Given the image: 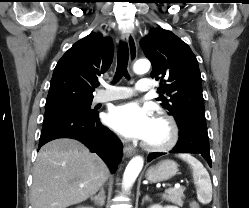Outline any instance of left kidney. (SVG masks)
<instances>
[{
  "label": "left kidney",
  "instance_id": "left-kidney-1",
  "mask_svg": "<svg viewBox=\"0 0 249 208\" xmlns=\"http://www.w3.org/2000/svg\"><path fill=\"white\" fill-rule=\"evenodd\" d=\"M148 208H178V207H176V206H165V207H162L161 205H151Z\"/></svg>",
  "mask_w": 249,
  "mask_h": 208
}]
</instances>
